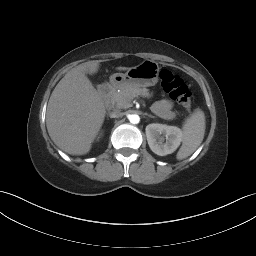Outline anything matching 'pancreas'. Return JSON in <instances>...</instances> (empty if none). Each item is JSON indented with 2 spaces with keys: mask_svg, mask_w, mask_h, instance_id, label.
Instances as JSON below:
<instances>
[{
  "mask_svg": "<svg viewBox=\"0 0 256 256\" xmlns=\"http://www.w3.org/2000/svg\"><path fill=\"white\" fill-rule=\"evenodd\" d=\"M142 96L144 98H150L152 93L146 88L139 87H126L120 91L113 92L111 95V103L116 108H129L132 105V100L137 97Z\"/></svg>",
  "mask_w": 256,
  "mask_h": 256,
  "instance_id": "pancreas-1",
  "label": "pancreas"
}]
</instances>
